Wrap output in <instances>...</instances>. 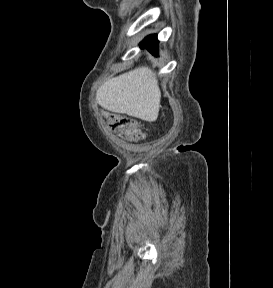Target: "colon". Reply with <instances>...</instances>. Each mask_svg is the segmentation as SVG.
Segmentation results:
<instances>
[{"instance_id":"colon-1","label":"colon","mask_w":273,"mask_h":288,"mask_svg":"<svg viewBox=\"0 0 273 288\" xmlns=\"http://www.w3.org/2000/svg\"><path fill=\"white\" fill-rule=\"evenodd\" d=\"M104 118L111 130L124 139L137 141L144 137L139 123L129 116L106 112Z\"/></svg>"}]
</instances>
